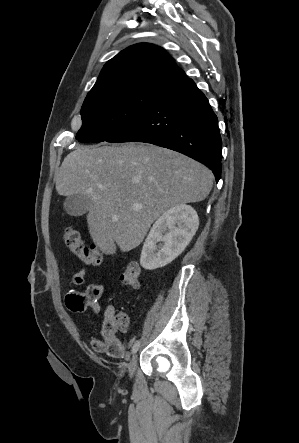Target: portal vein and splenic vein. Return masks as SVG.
Segmentation results:
<instances>
[{
    "instance_id": "portal-vein-and-splenic-vein-1",
    "label": "portal vein and splenic vein",
    "mask_w": 299,
    "mask_h": 443,
    "mask_svg": "<svg viewBox=\"0 0 299 443\" xmlns=\"http://www.w3.org/2000/svg\"><path fill=\"white\" fill-rule=\"evenodd\" d=\"M100 188H102V187L100 186ZM134 207L139 209V208H142V205L141 204H135Z\"/></svg>"
}]
</instances>
